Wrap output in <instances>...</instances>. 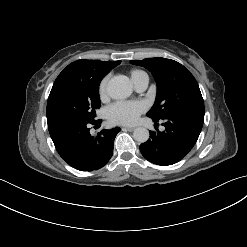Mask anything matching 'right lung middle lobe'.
<instances>
[{
	"instance_id": "obj_1",
	"label": "right lung middle lobe",
	"mask_w": 247,
	"mask_h": 247,
	"mask_svg": "<svg viewBox=\"0 0 247 247\" xmlns=\"http://www.w3.org/2000/svg\"><path fill=\"white\" fill-rule=\"evenodd\" d=\"M102 77L56 79L47 102L49 132L71 123L95 121L99 109V84Z\"/></svg>"
}]
</instances>
